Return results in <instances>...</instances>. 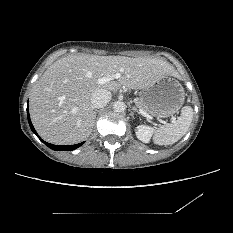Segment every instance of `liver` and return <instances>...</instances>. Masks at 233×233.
<instances>
[{"label": "liver", "instance_id": "1", "mask_svg": "<svg viewBox=\"0 0 233 233\" xmlns=\"http://www.w3.org/2000/svg\"><path fill=\"white\" fill-rule=\"evenodd\" d=\"M116 74L117 81L98 84L99 78ZM167 76L178 73L162 59L90 54L62 57L47 68L32 89L29 110L33 125L50 143H79L94 127L91 97L96 91H117L122 86L144 89Z\"/></svg>", "mask_w": 233, "mask_h": 233}]
</instances>
